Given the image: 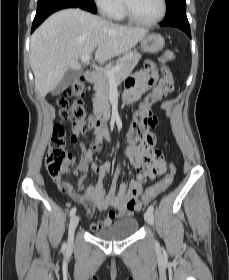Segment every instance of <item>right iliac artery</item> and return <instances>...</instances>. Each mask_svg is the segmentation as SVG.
I'll list each match as a JSON object with an SVG mask.
<instances>
[{
    "label": "right iliac artery",
    "mask_w": 229,
    "mask_h": 280,
    "mask_svg": "<svg viewBox=\"0 0 229 280\" xmlns=\"http://www.w3.org/2000/svg\"><path fill=\"white\" fill-rule=\"evenodd\" d=\"M76 213V207H73L71 210H70V216H73L74 214ZM66 248V245L63 244V249Z\"/></svg>",
    "instance_id": "obj_1"
}]
</instances>
